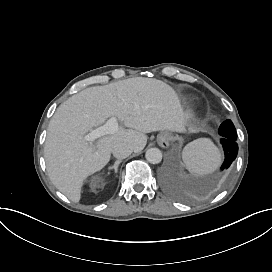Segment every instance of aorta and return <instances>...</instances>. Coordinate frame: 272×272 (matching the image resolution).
Listing matches in <instances>:
<instances>
[{
    "label": "aorta",
    "instance_id": "aorta-1",
    "mask_svg": "<svg viewBox=\"0 0 272 272\" xmlns=\"http://www.w3.org/2000/svg\"><path fill=\"white\" fill-rule=\"evenodd\" d=\"M145 157L148 162L157 164L162 160V152L158 148H150L146 151Z\"/></svg>",
    "mask_w": 272,
    "mask_h": 272
}]
</instances>
